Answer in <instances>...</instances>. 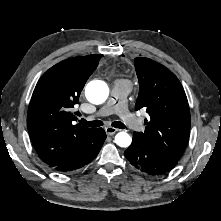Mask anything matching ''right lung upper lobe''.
Listing matches in <instances>:
<instances>
[{
	"instance_id": "cb5924a9",
	"label": "right lung upper lobe",
	"mask_w": 221,
	"mask_h": 221,
	"mask_svg": "<svg viewBox=\"0 0 221 221\" xmlns=\"http://www.w3.org/2000/svg\"><path fill=\"white\" fill-rule=\"evenodd\" d=\"M103 55L66 59L39 79L28 109L27 128L39 157L50 167L84 150L96 129L74 125L80 93Z\"/></svg>"
}]
</instances>
